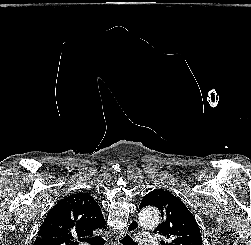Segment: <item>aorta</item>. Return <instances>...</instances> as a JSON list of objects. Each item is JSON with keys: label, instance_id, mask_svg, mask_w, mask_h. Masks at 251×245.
Listing matches in <instances>:
<instances>
[{"label": "aorta", "instance_id": "obj_1", "mask_svg": "<svg viewBox=\"0 0 251 245\" xmlns=\"http://www.w3.org/2000/svg\"><path fill=\"white\" fill-rule=\"evenodd\" d=\"M140 220L144 226L155 227L160 221V216L156 208H144L140 212Z\"/></svg>", "mask_w": 251, "mask_h": 245}]
</instances>
